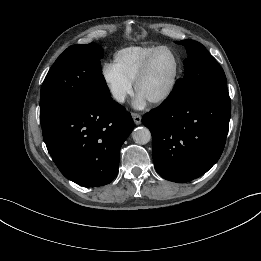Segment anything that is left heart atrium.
I'll list each match as a JSON object with an SVG mask.
<instances>
[{"mask_svg":"<svg viewBox=\"0 0 261 261\" xmlns=\"http://www.w3.org/2000/svg\"><path fill=\"white\" fill-rule=\"evenodd\" d=\"M145 102H146V99L143 96H141L140 94H138L135 99V106L142 107L145 105Z\"/></svg>","mask_w":261,"mask_h":261,"instance_id":"39dd6f15","label":"left heart atrium"}]
</instances>
